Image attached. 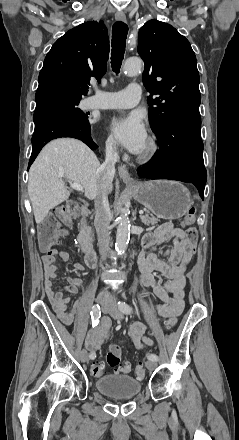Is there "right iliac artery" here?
<instances>
[{"label": "right iliac artery", "instance_id": "1", "mask_svg": "<svg viewBox=\"0 0 239 440\" xmlns=\"http://www.w3.org/2000/svg\"><path fill=\"white\" fill-rule=\"evenodd\" d=\"M91 317H92V326L95 327L99 323V319L101 317V309L98 304L94 305L91 310ZM96 355L94 353L90 354V358L94 359Z\"/></svg>", "mask_w": 239, "mask_h": 440}]
</instances>
